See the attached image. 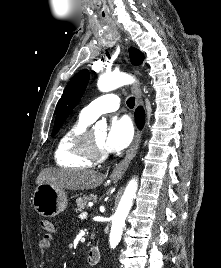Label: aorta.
Returning a JSON list of instances; mask_svg holds the SVG:
<instances>
[{
	"label": "aorta",
	"mask_w": 221,
	"mask_h": 268,
	"mask_svg": "<svg viewBox=\"0 0 221 268\" xmlns=\"http://www.w3.org/2000/svg\"><path fill=\"white\" fill-rule=\"evenodd\" d=\"M134 82V78L126 73H111L99 77L97 86L101 92H109L124 85ZM138 188L137 179L133 178L129 181L125 188L123 196L119 202L117 210L112 218V226L110 232V247L115 248L123 232L125 221L132 207L133 199L136 196Z\"/></svg>",
	"instance_id": "aorta-1"
}]
</instances>
